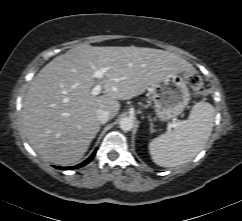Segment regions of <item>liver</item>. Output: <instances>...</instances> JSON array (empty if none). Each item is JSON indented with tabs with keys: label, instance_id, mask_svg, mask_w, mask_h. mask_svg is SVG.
<instances>
[{
	"label": "liver",
	"instance_id": "obj_1",
	"mask_svg": "<svg viewBox=\"0 0 242 221\" xmlns=\"http://www.w3.org/2000/svg\"><path fill=\"white\" fill-rule=\"evenodd\" d=\"M107 68L104 94L92 95L96 70ZM193 66L175 53L144 47L78 45L55 57L31 82L22 108L23 133L47 162L67 166L79 161L95 138L100 122L96 111L113 118L118 100L141 95L160 78Z\"/></svg>",
	"mask_w": 242,
	"mask_h": 221
}]
</instances>
